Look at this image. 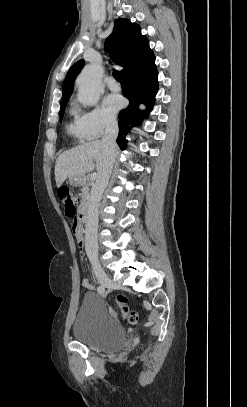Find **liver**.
Instances as JSON below:
<instances>
[{"mask_svg": "<svg viewBox=\"0 0 247 407\" xmlns=\"http://www.w3.org/2000/svg\"><path fill=\"white\" fill-rule=\"evenodd\" d=\"M108 151L101 141H93L65 151L56 160L55 180L57 187L71 176H84L95 167L97 177L102 173L107 161ZM96 161V165L93 163Z\"/></svg>", "mask_w": 247, "mask_h": 407, "instance_id": "liver-1", "label": "liver"}]
</instances>
